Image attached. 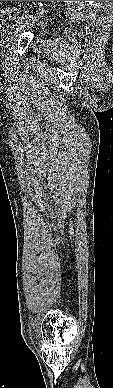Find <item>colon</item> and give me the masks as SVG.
<instances>
[{
  "instance_id": "colon-1",
  "label": "colon",
  "mask_w": 113,
  "mask_h": 388,
  "mask_svg": "<svg viewBox=\"0 0 113 388\" xmlns=\"http://www.w3.org/2000/svg\"><path fill=\"white\" fill-rule=\"evenodd\" d=\"M16 10L10 7H1L0 17L4 16L6 19H13L15 17Z\"/></svg>"
}]
</instances>
